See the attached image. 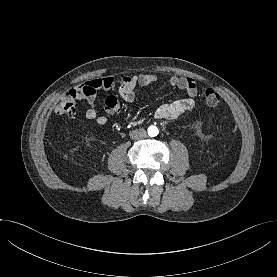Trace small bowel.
I'll return each mask as SVG.
<instances>
[{"mask_svg": "<svg viewBox=\"0 0 277 277\" xmlns=\"http://www.w3.org/2000/svg\"><path fill=\"white\" fill-rule=\"evenodd\" d=\"M160 78L154 74H138L133 76H124L118 86L119 97L127 102L133 103L136 100L135 88L150 87L157 85ZM166 83L169 86L176 87L187 93V97L175 100L171 103H165L159 106L154 116L157 119L175 120L182 114L190 111L195 106V97L198 89L194 79L171 76ZM115 86V79L111 76L92 79L80 86L84 93L80 98L84 99L88 104L86 111V118L98 125H104L108 118L106 115L98 114L95 108L96 96L100 90L109 91ZM105 110L108 115L117 114L120 110L119 100L114 95H109L105 100Z\"/></svg>", "mask_w": 277, "mask_h": 277, "instance_id": "small-bowel-1", "label": "small bowel"}]
</instances>
